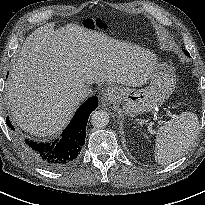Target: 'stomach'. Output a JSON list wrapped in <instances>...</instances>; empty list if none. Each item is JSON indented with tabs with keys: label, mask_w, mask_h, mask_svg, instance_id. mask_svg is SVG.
<instances>
[{
	"label": "stomach",
	"mask_w": 205,
	"mask_h": 205,
	"mask_svg": "<svg viewBox=\"0 0 205 205\" xmlns=\"http://www.w3.org/2000/svg\"><path fill=\"white\" fill-rule=\"evenodd\" d=\"M92 24L93 27L90 26ZM83 27L94 30H103L95 20ZM176 78L174 71L163 63H157L150 74V84L145 89H129L114 87L113 101L122 103L123 110L127 115L135 116L150 112L161 106L175 90Z\"/></svg>",
	"instance_id": "0dacf381"
}]
</instances>
